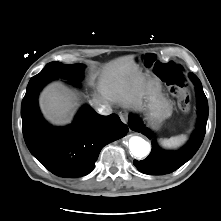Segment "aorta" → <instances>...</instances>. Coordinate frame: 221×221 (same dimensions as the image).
Returning <instances> with one entry per match:
<instances>
[{
  "label": "aorta",
  "instance_id": "762f6f07",
  "mask_svg": "<svg viewBox=\"0 0 221 221\" xmlns=\"http://www.w3.org/2000/svg\"><path fill=\"white\" fill-rule=\"evenodd\" d=\"M129 149L135 157L142 158L149 154L150 144L139 136H133L129 139Z\"/></svg>",
  "mask_w": 221,
  "mask_h": 221
}]
</instances>
